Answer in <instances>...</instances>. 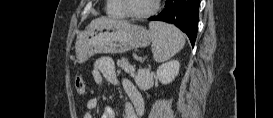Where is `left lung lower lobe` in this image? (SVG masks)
<instances>
[{
	"instance_id": "0a47b994",
	"label": "left lung lower lobe",
	"mask_w": 273,
	"mask_h": 118,
	"mask_svg": "<svg viewBox=\"0 0 273 118\" xmlns=\"http://www.w3.org/2000/svg\"><path fill=\"white\" fill-rule=\"evenodd\" d=\"M200 0H166L165 8L157 15L150 17V21H164L174 24L187 34L194 46Z\"/></svg>"
}]
</instances>
